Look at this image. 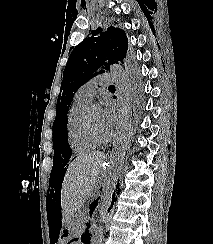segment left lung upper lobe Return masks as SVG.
I'll use <instances>...</instances> for the list:
<instances>
[{"label": "left lung upper lobe", "mask_w": 213, "mask_h": 244, "mask_svg": "<svg viewBox=\"0 0 213 244\" xmlns=\"http://www.w3.org/2000/svg\"><path fill=\"white\" fill-rule=\"evenodd\" d=\"M128 38L125 32L110 26L107 31L98 28L91 35L73 48L61 83L62 94L58 96L56 118L53 132H67V112L75 92L90 79L104 73L112 63H121L132 72L131 63L126 61Z\"/></svg>", "instance_id": "left-lung-upper-lobe-1"}]
</instances>
